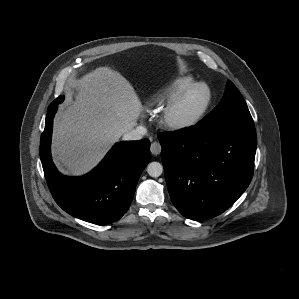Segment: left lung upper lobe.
Masks as SVG:
<instances>
[{"label": "left lung upper lobe", "instance_id": "left-lung-upper-lobe-1", "mask_svg": "<svg viewBox=\"0 0 299 299\" xmlns=\"http://www.w3.org/2000/svg\"><path fill=\"white\" fill-rule=\"evenodd\" d=\"M198 124L211 129L254 127L246 102L230 80L220 103Z\"/></svg>", "mask_w": 299, "mask_h": 299}]
</instances>
